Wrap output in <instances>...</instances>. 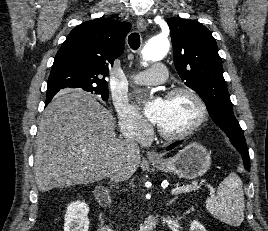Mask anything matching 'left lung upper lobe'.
<instances>
[{"label": "left lung upper lobe", "mask_w": 268, "mask_h": 231, "mask_svg": "<svg viewBox=\"0 0 268 231\" xmlns=\"http://www.w3.org/2000/svg\"><path fill=\"white\" fill-rule=\"evenodd\" d=\"M167 23L179 76L203 99L213 121L227 134L234 147L247 150L244 134L233 113L221 58L211 32L196 20L173 18Z\"/></svg>", "instance_id": "left-lung-upper-lobe-1"}]
</instances>
